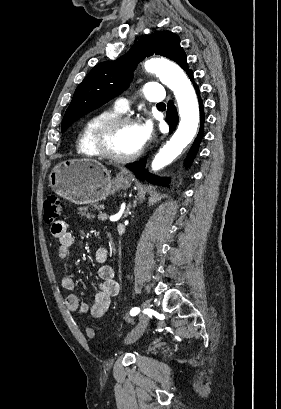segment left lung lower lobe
<instances>
[{"label": "left lung lower lobe", "mask_w": 281, "mask_h": 409, "mask_svg": "<svg viewBox=\"0 0 281 409\" xmlns=\"http://www.w3.org/2000/svg\"><path fill=\"white\" fill-rule=\"evenodd\" d=\"M189 78L191 79V81L193 82V72L189 71L188 73ZM195 89L197 90V93H199L198 91V87L196 84H194ZM199 102H200V113H201V128L200 131L198 133L197 138L195 139L190 151L187 154V157L185 159V163L186 165H190L191 162L193 161L194 157L196 156V153L198 151L199 148V144L200 141L202 139L203 136V123H204V113H203V106H202V102L201 99L199 98ZM167 122L169 124V130L170 133H172L178 123V114L176 111V108L173 104V101H169L168 105H167ZM145 165H146V159H143L139 162L127 165V168L130 169L131 171L134 172V174L140 179V180H148L151 183L154 184H158V185H167L169 183V179L168 178H159L157 176L151 175L147 172H145Z\"/></svg>", "instance_id": "0a47b994"}]
</instances>
